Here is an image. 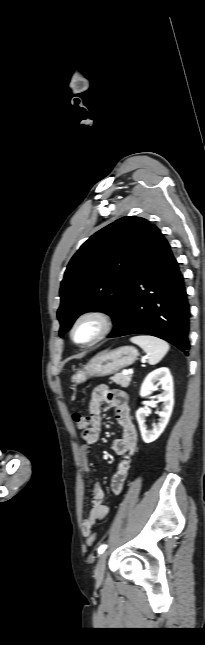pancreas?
Instances as JSON below:
<instances>
[{
    "instance_id": "obj_1",
    "label": "pancreas",
    "mask_w": 205,
    "mask_h": 645,
    "mask_svg": "<svg viewBox=\"0 0 205 645\" xmlns=\"http://www.w3.org/2000/svg\"><path fill=\"white\" fill-rule=\"evenodd\" d=\"M113 382L120 385L123 388H127L131 382V375H124L123 373L115 374L110 378Z\"/></svg>"
}]
</instances>
